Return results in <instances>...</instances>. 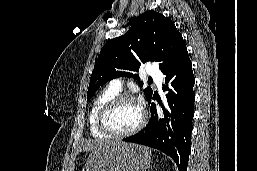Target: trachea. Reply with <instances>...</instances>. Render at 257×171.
<instances>
[{
  "label": "trachea",
  "mask_w": 257,
  "mask_h": 171,
  "mask_svg": "<svg viewBox=\"0 0 257 171\" xmlns=\"http://www.w3.org/2000/svg\"><path fill=\"white\" fill-rule=\"evenodd\" d=\"M148 81H149V82H152V78H149Z\"/></svg>",
  "instance_id": "obj_1"
}]
</instances>
